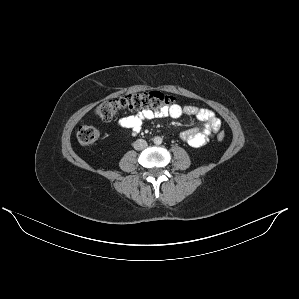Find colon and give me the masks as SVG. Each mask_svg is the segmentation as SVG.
Here are the masks:
<instances>
[{
	"instance_id": "5ec220e1",
	"label": "colon",
	"mask_w": 299,
	"mask_h": 299,
	"mask_svg": "<svg viewBox=\"0 0 299 299\" xmlns=\"http://www.w3.org/2000/svg\"><path fill=\"white\" fill-rule=\"evenodd\" d=\"M173 101L174 99L171 95L160 91L135 93L105 100L96 106L94 113L97 118L109 121L121 112L168 108L173 104ZM100 137V130L92 125L81 126L77 131V139L82 145L94 144ZM224 138V132L220 131L217 133L219 141L224 140Z\"/></svg>"
}]
</instances>
